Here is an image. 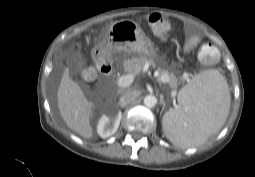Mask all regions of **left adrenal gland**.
I'll return each instance as SVG.
<instances>
[{"label": "left adrenal gland", "mask_w": 255, "mask_h": 177, "mask_svg": "<svg viewBox=\"0 0 255 177\" xmlns=\"http://www.w3.org/2000/svg\"><path fill=\"white\" fill-rule=\"evenodd\" d=\"M164 108H165V102L163 101V108H162V111L164 110Z\"/></svg>", "instance_id": "1"}]
</instances>
